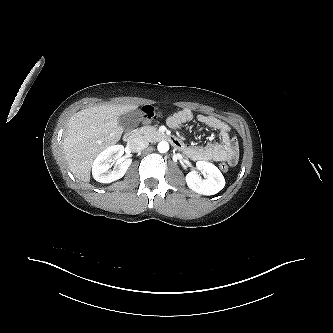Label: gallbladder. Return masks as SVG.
Returning a JSON list of instances; mask_svg holds the SVG:
<instances>
[{"instance_id": "gallbladder-1", "label": "gallbladder", "mask_w": 333, "mask_h": 333, "mask_svg": "<svg viewBox=\"0 0 333 333\" xmlns=\"http://www.w3.org/2000/svg\"><path fill=\"white\" fill-rule=\"evenodd\" d=\"M140 121V114L136 111H129L119 117V125L126 132L132 131Z\"/></svg>"}]
</instances>
